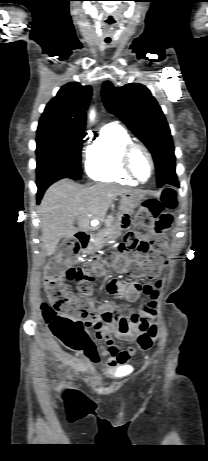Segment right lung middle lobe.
I'll use <instances>...</instances> for the list:
<instances>
[{"mask_svg":"<svg viewBox=\"0 0 208 461\" xmlns=\"http://www.w3.org/2000/svg\"><path fill=\"white\" fill-rule=\"evenodd\" d=\"M85 132L39 122L37 129V185L54 177L81 178V148Z\"/></svg>","mask_w":208,"mask_h":461,"instance_id":"right-lung-middle-lobe-1","label":"right lung middle lobe"}]
</instances>
